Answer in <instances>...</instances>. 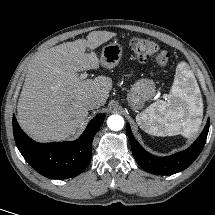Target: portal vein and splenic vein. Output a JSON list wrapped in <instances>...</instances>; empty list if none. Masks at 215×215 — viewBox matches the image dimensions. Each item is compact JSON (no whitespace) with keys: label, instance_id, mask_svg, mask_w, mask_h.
I'll list each match as a JSON object with an SVG mask.
<instances>
[{"label":"portal vein and splenic vein","instance_id":"18ae733b","mask_svg":"<svg viewBox=\"0 0 215 215\" xmlns=\"http://www.w3.org/2000/svg\"><path fill=\"white\" fill-rule=\"evenodd\" d=\"M87 78V73H82L80 75V79H86Z\"/></svg>","mask_w":215,"mask_h":215}]
</instances>
